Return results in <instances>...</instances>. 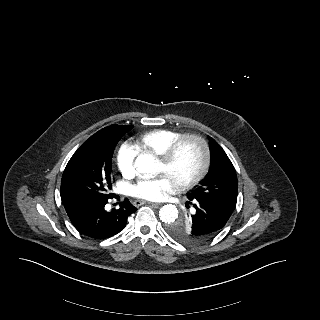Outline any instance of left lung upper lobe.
<instances>
[{
    "instance_id": "5c2ea615",
    "label": "left lung upper lobe",
    "mask_w": 320,
    "mask_h": 320,
    "mask_svg": "<svg viewBox=\"0 0 320 320\" xmlns=\"http://www.w3.org/2000/svg\"><path fill=\"white\" fill-rule=\"evenodd\" d=\"M210 140L211 165L210 172L204 181L191 193L188 194V204L194 199H204L218 205L225 212L233 213L238 192V181L235 168L225 151L212 138ZM187 206L189 207V205ZM199 227L197 214L178 218L168 226L169 234L177 241L185 244L202 242L194 235Z\"/></svg>"
}]
</instances>
